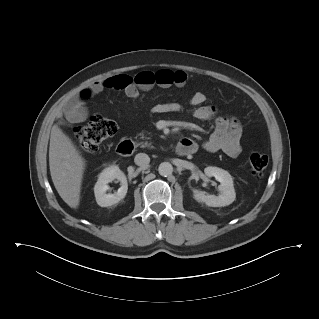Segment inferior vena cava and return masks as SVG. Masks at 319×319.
<instances>
[{
  "label": "inferior vena cava",
  "instance_id": "obj_1",
  "mask_svg": "<svg viewBox=\"0 0 319 319\" xmlns=\"http://www.w3.org/2000/svg\"><path fill=\"white\" fill-rule=\"evenodd\" d=\"M134 162L136 165L141 166V167H146L149 162H150V158L147 154L145 153H138L135 156Z\"/></svg>",
  "mask_w": 319,
  "mask_h": 319
}]
</instances>
